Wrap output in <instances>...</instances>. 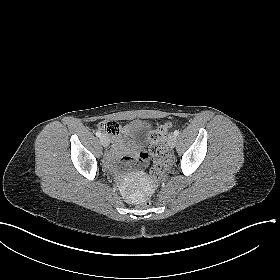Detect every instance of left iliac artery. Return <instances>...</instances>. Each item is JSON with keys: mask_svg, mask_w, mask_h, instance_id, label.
<instances>
[{"mask_svg": "<svg viewBox=\"0 0 280 280\" xmlns=\"http://www.w3.org/2000/svg\"><path fill=\"white\" fill-rule=\"evenodd\" d=\"M178 134H179V131H178V130H175V131H174V135H175V136H178Z\"/></svg>", "mask_w": 280, "mask_h": 280, "instance_id": "1", "label": "left iliac artery"}]
</instances>
